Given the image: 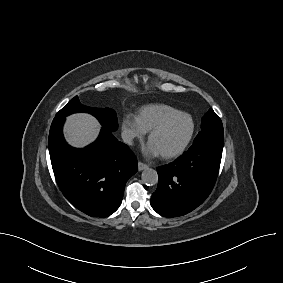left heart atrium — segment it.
<instances>
[{"instance_id":"1","label":"left heart atrium","mask_w":283,"mask_h":283,"mask_svg":"<svg viewBox=\"0 0 283 283\" xmlns=\"http://www.w3.org/2000/svg\"><path fill=\"white\" fill-rule=\"evenodd\" d=\"M143 152L148 157H156L160 154L159 150L151 141L144 147Z\"/></svg>"}]
</instances>
